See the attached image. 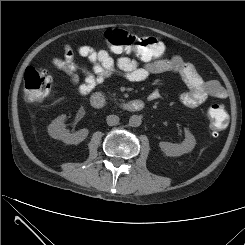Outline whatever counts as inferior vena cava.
Wrapping results in <instances>:
<instances>
[{
	"label": "inferior vena cava",
	"instance_id": "inferior-vena-cava-1",
	"mask_svg": "<svg viewBox=\"0 0 245 245\" xmlns=\"http://www.w3.org/2000/svg\"><path fill=\"white\" fill-rule=\"evenodd\" d=\"M107 124L109 126H114L119 123V117L117 115H108L106 118Z\"/></svg>",
	"mask_w": 245,
	"mask_h": 245
}]
</instances>
